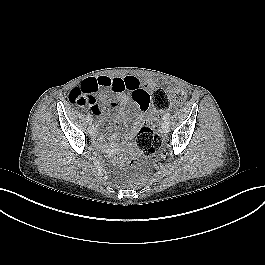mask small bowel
Returning <instances> with one entry per match:
<instances>
[{"label":"small bowel","mask_w":265,"mask_h":265,"mask_svg":"<svg viewBox=\"0 0 265 265\" xmlns=\"http://www.w3.org/2000/svg\"><path fill=\"white\" fill-rule=\"evenodd\" d=\"M95 86V89L92 87ZM155 87V83L147 81L141 83L135 76L125 77H108L100 76L87 80L82 85L75 87L74 92L81 94L83 105L88 106L94 115L102 113L99 101L111 100V92L116 94V97L110 101L113 107H121L123 104L134 101L135 108L139 111L135 114L133 125H140L145 118L147 111L152 103L149 91ZM97 140L102 141L100 135H97Z\"/></svg>","instance_id":"1"}]
</instances>
